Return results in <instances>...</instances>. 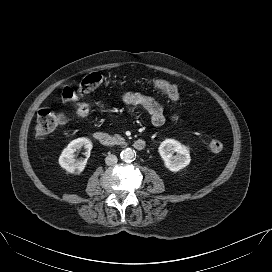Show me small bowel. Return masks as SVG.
<instances>
[{
  "label": "small bowel",
  "mask_w": 272,
  "mask_h": 272,
  "mask_svg": "<svg viewBox=\"0 0 272 272\" xmlns=\"http://www.w3.org/2000/svg\"><path fill=\"white\" fill-rule=\"evenodd\" d=\"M122 102L130 107L140 108L146 112L150 118L153 126L161 127L166 122V117L162 106L154 99L144 96L139 93H125ZM173 119H178V116H173Z\"/></svg>",
  "instance_id": "obj_1"
}]
</instances>
